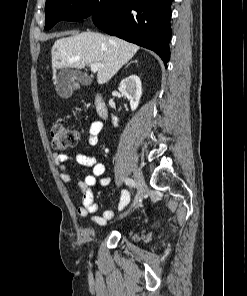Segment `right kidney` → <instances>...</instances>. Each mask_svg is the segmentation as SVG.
<instances>
[{
    "label": "right kidney",
    "instance_id": "right-kidney-1",
    "mask_svg": "<svg viewBox=\"0 0 247 296\" xmlns=\"http://www.w3.org/2000/svg\"><path fill=\"white\" fill-rule=\"evenodd\" d=\"M119 91L130 101L131 110L134 111L139 105L142 95L140 78L137 75H130L120 83ZM114 126H118V118L112 116Z\"/></svg>",
    "mask_w": 247,
    "mask_h": 296
}]
</instances>
